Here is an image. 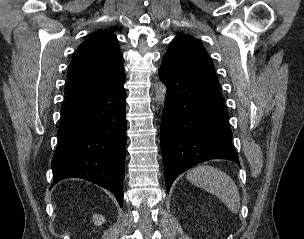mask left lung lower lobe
<instances>
[{
    "mask_svg": "<svg viewBox=\"0 0 304 239\" xmlns=\"http://www.w3.org/2000/svg\"><path fill=\"white\" fill-rule=\"evenodd\" d=\"M158 73L168 90L161 121L167 192L179 174L203 161L227 159L239 164L218 88L188 75L166 58Z\"/></svg>",
    "mask_w": 304,
    "mask_h": 239,
    "instance_id": "0a47b994",
    "label": "left lung lower lobe"
}]
</instances>
